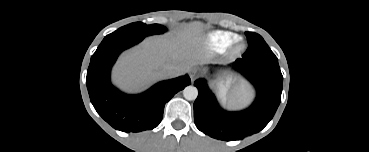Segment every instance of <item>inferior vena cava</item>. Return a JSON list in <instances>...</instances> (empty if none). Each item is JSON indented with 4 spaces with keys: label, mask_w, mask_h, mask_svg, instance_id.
I'll return each mask as SVG.
<instances>
[{
    "label": "inferior vena cava",
    "mask_w": 369,
    "mask_h": 152,
    "mask_svg": "<svg viewBox=\"0 0 369 152\" xmlns=\"http://www.w3.org/2000/svg\"><path fill=\"white\" fill-rule=\"evenodd\" d=\"M164 72L167 76H177L180 74V69L177 66L174 65H166L164 67Z\"/></svg>",
    "instance_id": "obj_1"
}]
</instances>
